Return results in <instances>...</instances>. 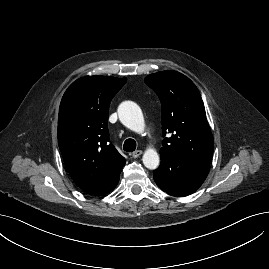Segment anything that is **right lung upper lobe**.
Segmentation results:
<instances>
[{"label":"right lung upper lobe","instance_id":"right-lung-upper-lobe-1","mask_svg":"<svg viewBox=\"0 0 269 269\" xmlns=\"http://www.w3.org/2000/svg\"><path fill=\"white\" fill-rule=\"evenodd\" d=\"M126 78L85 76L63 95L58 118V144L66 168L83 191L96 194L120 175L125 158L110 143L109 104Z\"/></svg>","mask_w":269,"mask_h":269}]
</instances>
